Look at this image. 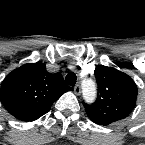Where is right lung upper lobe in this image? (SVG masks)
<instances>
[{
    "instance_id": "right-lung-upper-lobe-1",
    "label": "right lung upper lobe",
    "mask_w": 145,
    "mask_h": 145,
    "mask_svg": "<svg viewBox=\"0 0 145 145\" xmlns=\"http://www.w3.org/2000/svg\"><path fill=\"white\" fill-rule=\"evenodd\" d=\"M72 90L60 73H49L44 63L24 64L10 72L1 85V102L21 121H34L47 113L65 92Z\"/></svg>"
}]
</instances>
